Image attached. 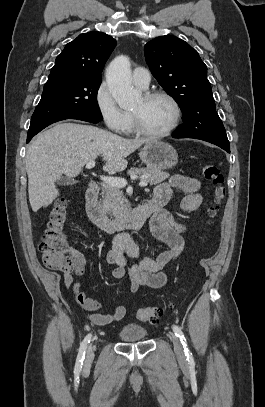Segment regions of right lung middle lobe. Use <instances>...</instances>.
Instances as JSON below:
<instances>
[{
    "label": "right lung middle lobe",
    "instance_id": "right-lung-middle-lobe-1",
    "mask_svg": "<svg viewBox=\"0 0 265 407\" xmlns=\"http://www.w3.org/2000/svg\"><path fill=\"white\" fill-rule=\"evenodd\" d=\"M100 83L101 80L68 74L49 77L32 115L28 135H36L48 125L68 118L89 117L101 121L97 103Z\"/></svg>",
    "mask_w": 265,
    "mask_h": 407
}]
</instances>
